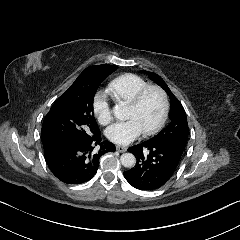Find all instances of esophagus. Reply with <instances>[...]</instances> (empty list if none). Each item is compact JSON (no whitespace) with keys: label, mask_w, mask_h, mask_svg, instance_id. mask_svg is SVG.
I'll return each mask as SVG.
<instances>
[{"label":"esophagus","mask_w":240,"mask_h":240,"mask_svg":"<svg viewBox=\"0 0 240 240\" xmlns=\"http://www.w3.org/2000/svg\"><path fill=\"white\" fill-rule=\"evenodd\" d=\"M116 150L120 153L126 152L127 151V147L126 146H121V145H117L116 146Z\"/></svg>","instance_id":"obj_1"}]
</instances>
